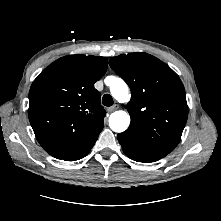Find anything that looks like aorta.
Instances as JSON below:
<instances>
[{"mask_svg":"<svg viewBox=\"0 0 221 221\" xmlns=\"http://www.w3.org/2000/svg\"><path fill=\"white\" fill-rule=\"evenodd\" d=\"M110 92L119 103L129 102L131 95L128 85L118 77H109ZM130 124V116L127 112L119 110L112 113L109 117L111 130L117 133L124 132Z\"/></svg>","mask_w":221,"mask_h":221,"instance_id":"aorta-1","label":"aorta"}]
</instances>
